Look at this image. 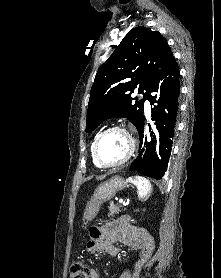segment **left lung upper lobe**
I'll return each instance as SVG.
<instances>
[{
	"label": "left lung upper lobe",
	"mask_w": 221,
	"mask_h": 278,
	"mask_svg": "<svg viewBox=\"0 0 221 278\" xmlns=\"http://www.w3.org/2000/svg\"><path fill=\"white\" fill-rule=\"evenodd\" d=\"M173 54L158 32L139 26L131 29L96 74L88 104L86 132L105 119L125 117L138 128L151 86L166 70ZM137 90L144 98L132 104Z\"/></svg>",
	"instance_id": "5c2ea615"
}]
</instances>
